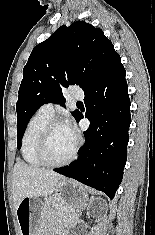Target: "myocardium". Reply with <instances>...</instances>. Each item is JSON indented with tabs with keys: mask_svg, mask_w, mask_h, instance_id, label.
<instances>
[{
	"mask_svg": "<svg viewBox=\"0 0 155 235\" xmlns=\"http://www.w3.org/2000/svg\"><path fill=\"white\" fill-rule=\"evenodd\" d=\"M58 125H65V123L61 119L52 118L46 124V126L42 130V133L40 135V138L37 144V149H36L38 159L42 162V164L46 166H50V167H60V166L67 165L70 162H72L77 155L79 145H80L79 139L76 137L74 148L67 158L61 161L50 160L47 156V145H48V141H49L52 130Z\"/></svg>",
	"mask_w": 155,
	"mask_h": 235,
	"instance_id": "myocardium-1",
	"label": "myocardium"
}]
</instances>
